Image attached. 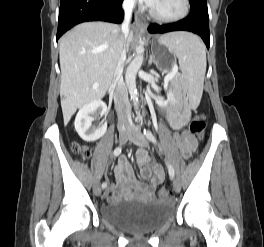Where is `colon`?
<instances>
[{
    "label": "colon",
    "mask_w": 264,
    "mask_h": 247,
    "mask_svg": "<svg viewBox=\"0 0 264 247\" xmlns=\"http://www.w3.org/2000/svg\"><path fill=\"white\" fill-rule=\"evenodd\" d=\"M205 126H206L205 116L203 114H198L194 116V118L192 119L190 123V131L192 134H194L198 138H202L204 135ZM72 148L74 152H76L83 158H87L90 155V150L85 146L75 143L73 144ZM171 195H172V192L168 188H165V187H162L157 191V196L160 199H168L169 197H171Z\"/></svg>",
    "instance_id": "colon-1"
}]
</instances>
